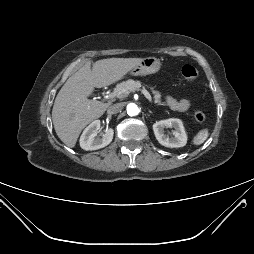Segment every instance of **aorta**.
Masks as SVG:
<instances>
[{"label": "aorta", "instance_id": "obj_1", "mask_svg": "<svg viewBox=\"0 0 254 254\" xmlns=\"http://www.w3.org/2000/svg\"><path fill=\"white\" fill-rule=\"evenodd\" d=\"M127 113L130 116L137 115L139 113V109L136 104L130 103L127 105Z\"/></svg>", "mask_w": 254, "mask_h": 254}]
</instances>
